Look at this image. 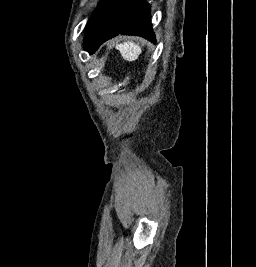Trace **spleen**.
<instances>
[{
	"instance_id": "1",
	"label": "spleen",
	"mask_w": 256,
	"mask_h": 267,
	"mask_svg": "<svg viewBox=\"0 0 256 267\" xmlns=\"http://www.w3.org/2000/svg\"><path fill=\"white\" fill-rule=\"evenodd\" d=\"M116 50H119L122 58L127 62H135L138 60L142 50L138 44L134 42H123V44H117Z\"/></svg>"
}]
</instances>
